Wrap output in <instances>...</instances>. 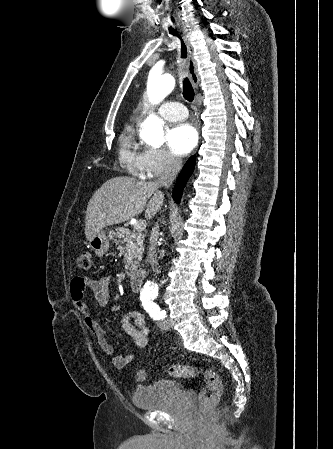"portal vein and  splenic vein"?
Wrapping results in <instances>:
<instances>
[{"label":"portal vein and splenic vein","mask_w":333,"mask_h":449,"mask_svg":"<svg viewBox=\"0 0 333 449\" xmlns=\"http://www.w3.org/2000/svg\"><path fill=\"white\" fill-rule=\"evenodd\" d=\"M134 228L138 231H142L146 228V224L144 221H138L135 223Z\"/></svg>","instance_id":"18ae733b"}]
</instances>
